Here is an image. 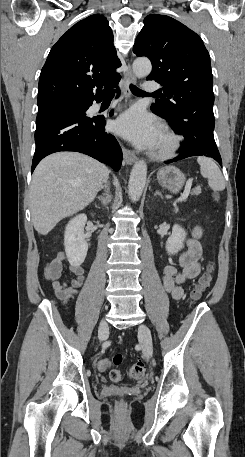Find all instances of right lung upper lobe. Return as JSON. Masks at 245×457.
I'll list each match as a JSON object with an SVG mask.
<instances>
[{"instance_id":"1","label":"right lung upper lobe","mask_w":245,"mask_h":457,"mask_svg":"<svg viewBox=\"0 0 245 457\" xmlns=\"http://www.w3.org/2000/svg\"><path fill=\"white\" fill-rule=\"evenodd\" d=\"M120 66L107 19L94 14L79 21L52 47L41 70L38 112L103 94L120 80Z\"/></svg>"}]
</instances>
